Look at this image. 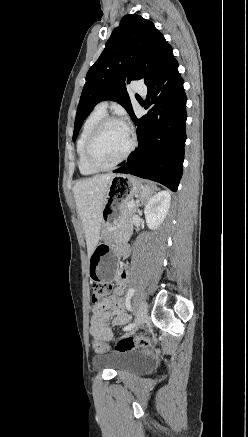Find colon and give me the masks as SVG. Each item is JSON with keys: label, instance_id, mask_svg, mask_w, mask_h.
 I'll return each instance as SVG.
<instances>
[{"label": "colon", "instance_id": "1", "mask_svg": "<svg viewBox=\"0 0 248 437\" xmlns=\"http://www.w3.org/2000/svg\"><path fill=\"white\" fill-rule=\"evenodd\" d=\"M111 286H92L91 299L93 303H99L104 300L110 293ZM153 345V340L148 337H121L115 345V351H134L137 349H147ZM97 353H104L108 350V345L100 340H95L92 344Z\"/></svg>", "mask_w": 248, "mask_h": 437}]
</instances>
